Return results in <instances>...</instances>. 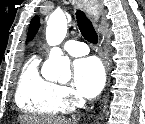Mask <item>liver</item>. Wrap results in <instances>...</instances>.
I'll return each mask as SVG.
<instances>
[{
  "mask_svg": "<svg viewBox=\"0 0 145 124\" xmlns=\"http://www.w3.org/2000/svg\"><path fill=\"white\" fill-rule=\"evenodd\" d=\"M20 124H72L70 120L65 118L54 117H37L24 115L19 117Z\"/></svg>",
  "mask_w": 145,
  "mask_h": 124,
  "instance_id": "1",
  "label": "liver"
}]
</instances>
